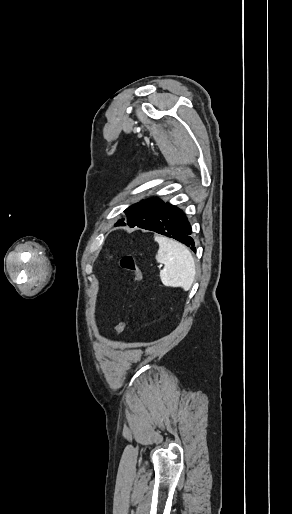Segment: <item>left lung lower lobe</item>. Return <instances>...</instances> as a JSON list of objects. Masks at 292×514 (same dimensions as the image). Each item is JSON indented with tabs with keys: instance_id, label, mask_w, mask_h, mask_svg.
Returning a JSON list of instances; mask_svg holds the SVG:
<instances>
[{
	"instance_id": "left-lung-lower-lobe-1",
	"label": "left lung lower lobe",
	"mask_w": 292,
	"mask_h": 514,
	"mask_svg": "<svg viewBox=\"0 0 292 514\" xmlns=\"http://www.w3.org/2000/svg\"><path fill=\"white\" fill-rule=\"evenodd\" d=\"M145 229L176 239L196 252L191 225L185 213L174 205L166 203L157 219Z\"/></svg>"
}]
</instances>
